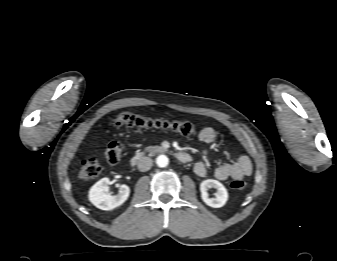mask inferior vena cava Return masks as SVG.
<instances>
[{
	"mask_svg": "<svg viewBox=\"0 0 337 261\" xmlns=\"http://www.w3.org/2000/svg\"><path fill=\"white\" fill-rule=\"evenodd\" d=\"M153 165V161L150 157L144 156L141 157L138 161V169L141 172H146L148 171Z\"/></svg>",
	"mask_w": 337,
	"mask_h": 261,
	"instance_id": "inferior-vena-cava-1",
	"label": "inferior vena cava"
}]
</instances>
